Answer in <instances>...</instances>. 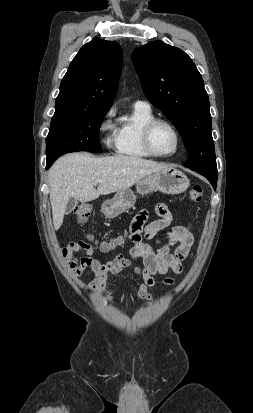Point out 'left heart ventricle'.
Wrapping results in <instances>:
<instances>
[{"instance_id": "obj_1", "label": "left heart ventricle", "mask_w": 253, "mask_h": 413, "mask_svg": "<svg viewBox=\"0 0 253 413\" xmlns=\"http://www.w3.org/2000/svg\"><path fill=\"white\" fill-rule=\"evenodd\" d=\"M152 144L156 152L169 154L173 152L176 147V138L168 126L159 124L152 132Z\"/></svg>"}]
</instances>
